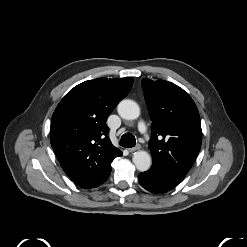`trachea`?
I'll return each mask as SVG.
<instances>
[{"instance_id": "trachea-1", "label": "trachea", "mask_w": 247, "mask_h": 247, "mask_svg": "<svg viewBox=\"0 0 247 247\" xmlns=\"http://www.w3.org/2000/svg\"><path fill=\"white\" fill-rule=\"evenodd\" d=\"M119 144L125 148H131L136 145V139L133 134L125 133L122 135Z\"/></svg>"}]
</instances>
